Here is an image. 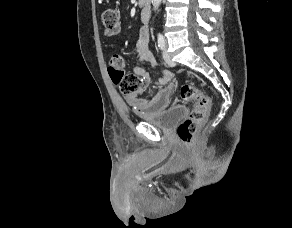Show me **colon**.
<instances>
[{
    "label": "colon",
    "instance_id": "5ec220e1",
    "mask_svg": "<svg viewBox=\"0 0 292 228\" xmlns=\"http://www.w3.org/2000/svg\"><path fill=\"white\" fill-rule=\"evenodd\" d=\"M103 30L108 36H115L120 32L121 22L118 13L113 9L106 10L102 15ZM109 75L112 81L119 87L123 95L128 98H136L140 94L142 82L134 74H125L123 71V59L114 55L109 62ZM182 100L194 102V107L189 115L178 126L177 133L180 140L190 145L198 128L207 120L211 107V98L202 93L198 88L185 85L180 92Z\"/></svg>",
    "mask_w": 292,
    "mask_h": 228
}]
</instances>
